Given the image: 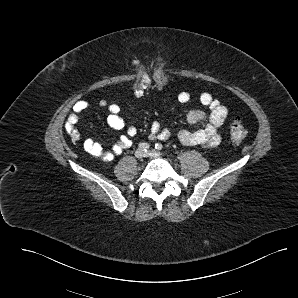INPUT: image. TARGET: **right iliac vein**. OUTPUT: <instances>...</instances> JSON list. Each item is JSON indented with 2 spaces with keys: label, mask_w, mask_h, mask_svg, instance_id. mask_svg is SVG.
I'll return each instance as SVG.
<instances>
[{
  "label": "right iliac vein",
  "mask_w": 298,
  "mask_h": 298,
  "mask_svg": "<svg viewBox=\"0 0 298 298\" xmlns=\"http://www.w3.org/2000/svg\"><path fill=\"white\" fill-rule=\"evenodd\" d=\"M135 157L138 159H141V158L145 157V152L142 149H138L135 152Z\"/></svg>",
  "instance_id": "63e3f726"
}]
</instances>
